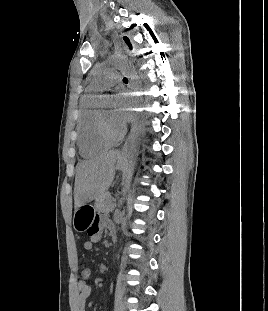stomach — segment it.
Here are the masks:
<instances>
[{
  "mask_svg": "<svg viewBox=\"0 0 268 311\" xmlns=\"http://www.w3.org/2000/svg\"><path fill=\"white\" fill-rule=\"evenodd\" d=\"M127 164L126 157H121L117 161V168L123 169ZM93 222V208L83 205L77 208L73 216V227L77 232H84L89 229Z\"/></svg>",
  "mask_w": 268,
  "mask_h": 311,
  "instance_id": "stomach-1",
  "label": "stomach"
}]
</instances>
